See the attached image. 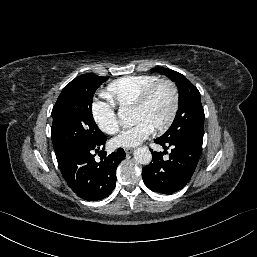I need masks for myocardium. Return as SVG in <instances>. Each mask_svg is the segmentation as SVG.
<instances>
[{
  "instance_id": "f54148a6",
  "label": "myocardium",
  "mask_w": 257,
  "mask_h": 257,
  "mask_svg": "<svg viewBox=\"0 0 257 257\" xmlns=\"http://www.w3.org/2000/svg\"><path fill=\"white\" fill-rule=\"evenodd\" d=\"M161 86H167L170 88L172 93V107L166 122L163 125L159 126L158 128L154 129V131L157 133H163L167 131L172 126L177 116L179 106H180V94H179L177 85L169 79H159L158 81L150 85L147 89H145L140 95V97L138 98V100L131 107L133 110L134 109L139 110L144 108L149 102V100L151 99V97L154 95V93Z\"/></svg>"
}]
</instances>
